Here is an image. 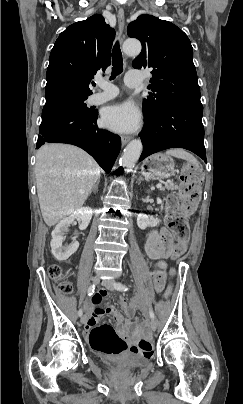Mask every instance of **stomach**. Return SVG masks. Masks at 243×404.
I'll list each match as a JSON object with an SVG mask.
<instances>
[{"label": "stomach", "instance_id": "obj_1", "mask_svg": "<svg viewBox=\"0 0 243 404\" xmlns=\"http://www.w3.org/2000/svg\"><path fill=\"white\" fill-rule=\"evenodd\" d=\"M173 159L163 153L151 155L141 165V172L146 179L163 180L174 174Z\"/></svg>", "mask_w": 243, "mask_h": 404}]
</instances>
